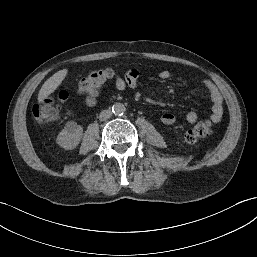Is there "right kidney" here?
Instances as JSON below:
<instances>
[{"instance_id":"obj_1","label":"right kidney","mask_w":257,"mask_h":257,"mask_svg":"<svg viewBox=\"0 0 257 257\" xmlns=\"http://www.w3.org/2000/svg\"><path fill=\"white\" fill-rule=\"evenodd\" d=\"M82 135L83 128L74 121H69L58 134L56 141L64 149L71 150L78 146Z\"/></svg>"}]
</instances>
